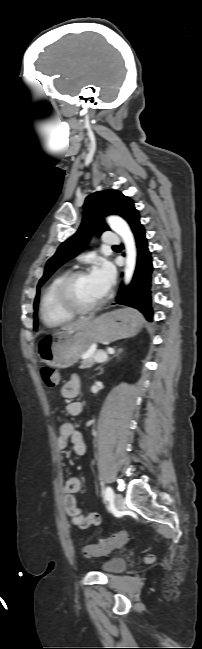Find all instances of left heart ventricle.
<instances>
[{"mask_svg": "<svg viewBox=\"0 0 202 649\" xmlns=\"http://www.w3.org/2000/svg\"><path fill=\"white\" fill-rule=\"evenodd\" d=\"M104 294L90 279L89 274L79 278L74 287V298L80 305L87 306L99 301Z\"/></svg>", "mask_w": 202, "mask_h": 649, "instance_id": "b2bd125f", "label": "left heart ventricle"}]
</instances>
